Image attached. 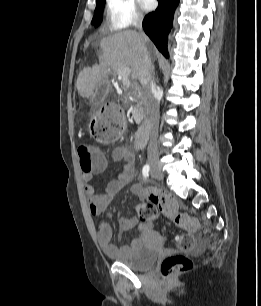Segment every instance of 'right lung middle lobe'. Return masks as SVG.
I'll list each match as a JSON object with an SVG mask.
<instances>
[{"label":"right lung middle lobe","instance_id":"dd1d6c3e","mask_svg":"<svg viewBox=\"0 0 261 306\" xmlns=\"http://www.w3.org/2000/svg\"><path fill=\"white\" fill-rule=\"evenodd\" d=\"M104 5H105V0H97V6L95 9L94 17L91 22L95 27L100 25L102 21V10L104 8Z\"/></svg>","mask_w":261,"mask_h":306}]
</instances>
